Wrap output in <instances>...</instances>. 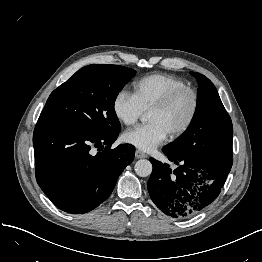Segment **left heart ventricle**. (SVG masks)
<instances>
[{"label":"left heart ventricle","mask_w":262,"mask_h":262,"mask_svg":"<svg viewBox=\"0 0 262 262\" xmlns=\"http://www.w3.org/2000/svg\"><path fill=\"white\" fill-rule=\"evenodd\" d=\"M191 106V97L184 94L162 111H149L147 121L159 123L169 135L187 120Z\"/></svg>","instance_id":"b2bd125f"}]
</instances>
